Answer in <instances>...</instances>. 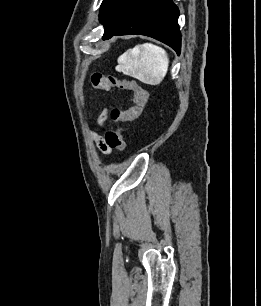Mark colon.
Instances as JSON below:
<instances>
[{"mask_svg": "<svg viewBox=\"0 0 261 306\" xmlns=\"http://www.w3.org/2000/svg\"><path fill=\"white\" fill-rule=\"evenodd\" d=\"M91 83L95 89L101 91L118 88L133 93L134 106L126 110L119 108L111 110L110 116L115 127L109 130L105 137V142L109 148L124 151L126 149V142L122 134L123 124L136 120L143 114L149 102V93L133 79H121L101 73L92 74Z\"/></svg>", "mask_w": 261, "mask_h": 306, "instance_id": "colon-1", "label": "colon"}]
</instances>
